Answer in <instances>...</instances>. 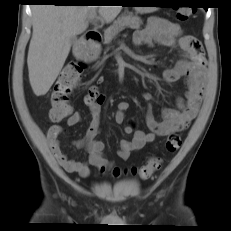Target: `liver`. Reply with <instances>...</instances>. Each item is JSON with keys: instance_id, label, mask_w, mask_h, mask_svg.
<instances>
[{"instance_id": "6515ba94", "label": "liver", "mask_w": 231, "mask_h": 231, "mask_svg": "<svg viewBox=\"0 0 231 231\" xmlns=\"http://www.w3.org/2000/svg\"><path fill=\"white\" fill-rule=\"evenodd\" d=\"M95 6L35 5L32 8L33 34L28 51L29 81L36 96L45 95L58 77L71 48V39L83 33ZM121 6H99L107 23L120 13Z\"/></svg>"}]
</instances>
